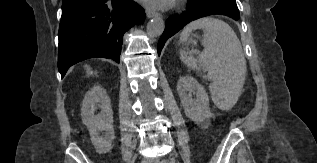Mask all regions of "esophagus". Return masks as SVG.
I'll list each match as a JSON object with an SVG mask.
<instances>
[{
  "mask_svg": "<svg viewBox=\"0 0 317 163\" xmlns=\"http://www.w3.org/2000/svg\"><path fill=\"white\" fill-rule=\"evenodd\" d=\"M146 15L148 18H152V17H158L159 14L151 9H147L146 10Z\"/></svg>",
  "mask_w": 317,
  "mask_h": 163,
  "instance_id": "1",
  "label": "esophagus"
}]
</instances>
